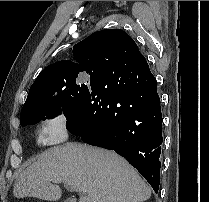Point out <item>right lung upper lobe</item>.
I'll list each match as a JSON object with an SVG mask.
<instances>
[{
	"instance_id": "right-lung-upper-lobe-1",
	"label": "right lung upper lobe",
	"mask_w": 209,
	"mask_h": 202,
	"mask_svg": "<svg viewBox=\"0 0 209 202\" xmlns=\"http://www.w3.org/2000/svg\"><path fill=\"white\" fill-rule=\"evenodd\" d=\"M75 62L62 60L47 66L30 87L28 97L21 113L39 104L34 95L43 85L54 77L76 75L86 72L91 78H100L107 74L125 75L130 61L144 58L135 41L123 30L105 29L92 33L73 47ZM26 121L21 119V126Z\"/></svg>"
}]
</instances>
